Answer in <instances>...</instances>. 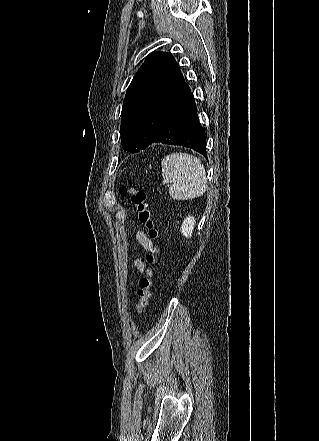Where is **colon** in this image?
Masks as SVG:
<instances>
[{"instance_id": "1", "label": "colon", "mask_w": 319, "mask_h": 441, "mask_svg": "<svg viewBox=\"0 0 319 441\" xmlns=\"http://www.w3.org/2000/svg\"><path fill=\"white\" fill-rule=\"evenodd\" d=\"M120 193L123 195H128L131 204L136 210L138 220L145 224L149 236L155 242H158L160 237V231L156 226L153 218L151 206L147 200V194L143 190H137L134 188L121 187L119 189ZM161 254V248L158 244L154 246L151 252L147 255V261L151 265L145 276L140 279L139 289H138V301L135 305V312L141 314L146 309L150 298H151V288L153 285V279L155 277L154 267L159 262V256Z\"/></svg>"}]
</instances>
